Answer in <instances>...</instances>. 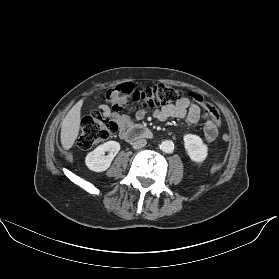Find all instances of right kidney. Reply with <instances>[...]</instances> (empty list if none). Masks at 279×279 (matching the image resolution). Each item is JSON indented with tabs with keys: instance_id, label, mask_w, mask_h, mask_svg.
<instances>
[{
	"instance_id": "1",
	"label": "right kidney",
	"mask_w": 279,
	"mask_h": 279,
	"mask_svg": "<svg viewBox=\"0 0 279 279\" xmlns=\"http://www.w3.org/2000/svg\"><path fill=\"white\" fill-rule=\"evenodd\" d=\"M119 151L120 144L118 142L107 141L87 154L85 164L92 171H106ZM105 152H108V154L105 155Z\"/></svg>"
}]
</instances>
